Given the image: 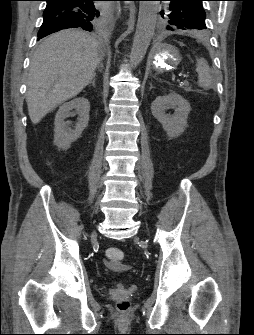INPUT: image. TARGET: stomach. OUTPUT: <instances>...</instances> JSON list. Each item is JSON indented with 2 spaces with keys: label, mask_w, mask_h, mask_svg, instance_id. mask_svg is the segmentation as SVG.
<instances>
[{
  "label": "stomach",
  "mask_w": 254,
  "mask_h": 335,
  "mask_svg": "<svg viewBox=\"0 0 254 335\" xmlns=\"http://www.w3.org/2000/svg\"><path fill=\"white\" fill-rule=\"evenodd\" d=\"M150 61L158 72L175 69L181 61V56L176 47L169 44H159L155 47Z\"/></svg>",
  "instance_id": "obj_1"
}]
</instances>
